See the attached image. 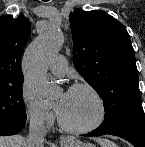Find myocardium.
<instances>
[{
  "mask_svg": "<svg viewBox=\"0 0 145 147\" xmlns=\"http://www.w3.org/2000/svg\"><path fill=\"white\" fill-rule=\"evenodd\" d=\"M80 89L87 90L88 92L92 94V96L97 102L99 112H98L97 118L92 123L85 125V126H71L67 124L62 119L61 115L58 112L57 117H58V123L60 127L64 131L72 133V134H86V133L96 130L104 123L106 116H107L106 104L102 96L100 95V93L97 91V89L88 83H76L69 88V91L80 90Z\"/></svg>",
  "mask_w": 145,
  "mask_h": 147,
  "instance_id": "f54148a6",
  "label": "myocardium"
}]
</instances>
